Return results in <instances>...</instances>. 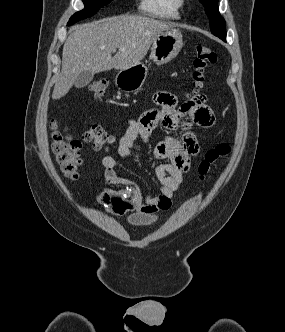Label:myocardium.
<instances>
[{
  "label": "myocardium",
  "mask_w": 285,
  "mask_h": 332,
  "mask_svg": "<svg viewBox=\"0 0 285 332\" xmlns=\"http://www.w3.org/2000/svg\"><path fill=\"white\" fill-rule=\"evenodd\" d=\"M186 0H175L176 5L181 8L184 6Z\"/></svg>",
  "instance_id": "1"
}]
</instances>
